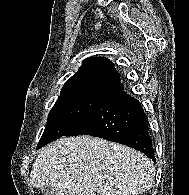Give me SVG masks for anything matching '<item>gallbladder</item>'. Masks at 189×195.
<instances>
[{
    "label": "gallbladder",
    "mask_w": 189,
    "mask_h": 195,
    "mask_svg": "<svg viewBox=\"0 0 189 195\" xmlns=\"http://www.w3.org/2000/svg\"><path fill=\"white\" fill-rule=\"evenodd\" d=\"M43 195H54V190L50 186H45L41 188Z\"/></svg>",
    "instance_id": "obj_1"
}]
</instances>
